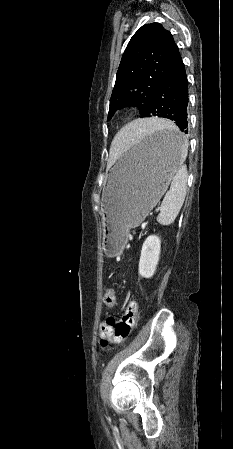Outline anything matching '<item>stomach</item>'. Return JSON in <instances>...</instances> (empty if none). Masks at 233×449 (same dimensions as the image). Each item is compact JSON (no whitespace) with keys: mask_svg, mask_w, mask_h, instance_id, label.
I'll return each instance as SVG.
<instances>
[{"mask_svg":"<svg viewBox=\"0 0 233 449\" xmlns=\"http://www.w3.org/2000/svg\"><path fill=\"white\" fill-rule=\"evenodd\" d=\"M182 134L176 128L152 133L110 170L103 186V247L119 254L127 231L137 227L158 203L184 159Z\"/></svg>","mask_w":233,"mask_h":449,"instance_id":"obj_1","label":"stomach"}]
</instances>
